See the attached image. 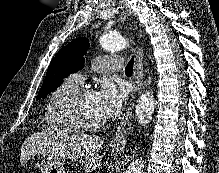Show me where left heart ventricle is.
Returning <instances> with one entry per match:
<instances>
[{
    "label": "left heart ventricle",
    "mask_w": 219,
    "mask_h": 173,
    "mask_svg": "<svg viewBox=\"0 0 219 173\" xmlns=\"http://www.w3.org/2000/svg\"><path fill=\"white\" fill-rule=\"evenodd\" d=\"M82 118L89 123H100L105 120L102 115L96 99L95 94L88 95L81 103L79 108Z\"/></svg>",
    "instance_id": "left-heart-ventricle-1"
}]
</instances>
